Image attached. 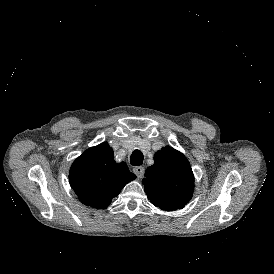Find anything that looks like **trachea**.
<instances>
[{
  "instance_id": "obj_1",
  "label": "trachea",
  "mask_w": 274,
  "mask_h": 274,
  "mask_svg": "<svg viewBox=\"0 0 274 274\" xmlns=\"http://www.w3.org/2000/svg\"><path fill=\"white\" fill-rule=\"evenodd\" d=\"M131 165L139 166L143 163V153L140 150H135L131 156Z\"/></svg>"
}]
</instances>
